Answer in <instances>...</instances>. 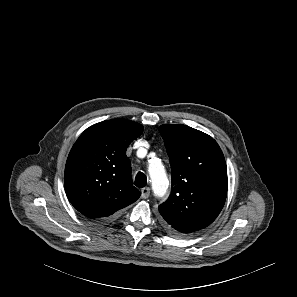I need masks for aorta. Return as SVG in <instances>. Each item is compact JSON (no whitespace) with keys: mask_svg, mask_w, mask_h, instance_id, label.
I'll return each instance as SVG.
<instances>
[{"mask_svg":"<svg viewBox=\"0 0 297 297\" xmlns=\"http://www.w3.org/2000/svg\"><path fill=\"white\" fill-rule=\"evenodd\" d=\"M149 176L154 194L157 197L163 196L167 191L169 182L166 171L160 161H152L150 163Z\"/></svg>","mask_w":297,"mask_h":297,"instance_id":"762f6f07","label":"aorta"}]
</instances>
